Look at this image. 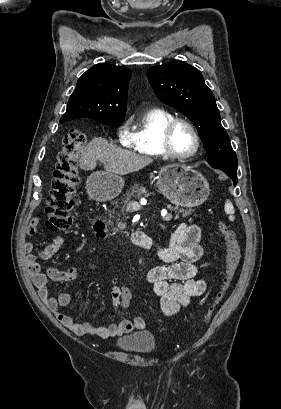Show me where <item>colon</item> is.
Listing matches in <instances>:
<instances>
[{
	"instance_id": "obj_1",
	"label": "colon",
	"mask_w": 281,
	"mask_h": 409,
	"mask_svg": "<svg viewBox=\"0 0 281 409\" xmlns=\"http://www.w3.org/2000/svg\"><path fill=\"white\" fill-rule=\"evenodd\" d=\"M89 141V134L83 129H72L63 139V147L57 155L55 180L45 207L46 226L49 230H65L71 224V214L75 208L74 194L79 181L76 160ZM219 229L227 251L225 268L214 300L201 319V327L209 322L216 308L224 299L241 256L240 243L235 231L225 223H220Z\"/></svg>"
}]
</instances>
